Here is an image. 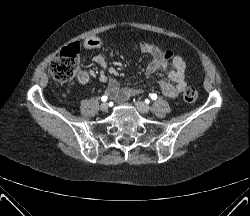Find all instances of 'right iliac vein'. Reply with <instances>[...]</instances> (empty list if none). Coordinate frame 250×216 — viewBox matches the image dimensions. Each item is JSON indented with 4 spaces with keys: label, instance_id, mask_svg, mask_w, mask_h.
<instances>
[{
    "label": "right iliac vein",
    "instance_id": "right-iliac-vein-1",
    "mask_svg": "<svg viewBox=\"0 0 250 216\" xmlns=\"http://www.w3.org/2000/svg\"><path fill=\"white\" fill-rule=\"evenodd\" d=\"M100 109H101L102 111H107V110H108V104H107L106 102L102 103V104L100 105Z\"/></svg>",
    "mask_w": 250,
    "mask_h": 216
}]
</instances>
